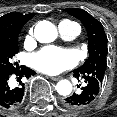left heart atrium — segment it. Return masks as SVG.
I'll list each match as a JSON object with an SVG mask.
<instances>
[{
  "instance_id": "39dd6f15",
  "label": "left heart atrium",
  "mask_w": 117,
  "mask_h": 117,
  "mask_svg": "<svg viewBox=\"0 0 117 117\" xmlns=\"http://www.w3.org/2000/svg\"><path fill=\"white\" fill-rule=\"evenodd\" d=\"M74 54L59 47H45L31 58L32 66L46 74L55 75L75 64Z\"/></svg>"
}]
</instances>
